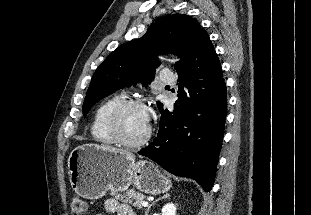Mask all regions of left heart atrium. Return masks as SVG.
I'll list each match as a JSON object with an SVG mask.
<instances>
[{"instance_id":"obj_1","label":"left heart atrium","mask_w":311,"mask_h":215,"mask_svg":"<svg viewBox=\"0 0 311 215\" xmlns=\"http://www.w3.org/2000/svg\"><path fill=\"white\" fill-rule=\"evenodd\" d=\"M147 119H148V122H149V120H150L149 112H148V114H147Z\"/></svg>"}]
</instances>
